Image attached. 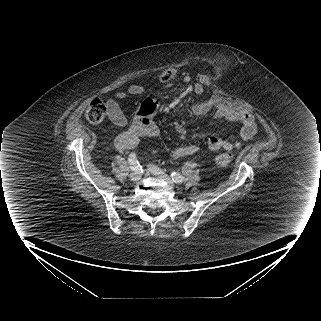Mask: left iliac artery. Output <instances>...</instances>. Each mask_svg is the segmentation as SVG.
<instances>
[{
	"label": "left iliac artery",
	"mask_w": 321,
	"mask_h": 321,
	"mask_svg": "<svg viewBox=\"0 0 321 321\" xmlns=\"http://www.w3.org/2000/svg\"><path fill=\"white\" fill-rule=\"evenodd\" d=\"M170 176L175 183H182L184 180L183 176L177 172H172Z\"/></svg>",
	"instance_id": "1"
}]
</instances>
